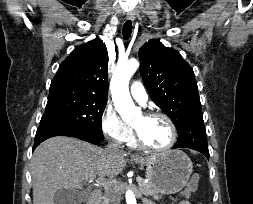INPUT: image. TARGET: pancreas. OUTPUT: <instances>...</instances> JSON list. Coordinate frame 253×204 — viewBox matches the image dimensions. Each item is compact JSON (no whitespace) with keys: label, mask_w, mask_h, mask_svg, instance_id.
Listing matches in <instances>:
<instances>
[{"label":"pancreas","mask_w":253,"mask_h":204,"mask_svg":"<svg viewBox=\"0 0 253 204\" xmlns=\"http://www.w3.org/2000/svg\"><path fill=\"white\" fill-rule=\"evenodd\" d=\"M139 189H140V192L146 196L148 195H154L158 192V190L154 187L153 184H151L150 182L149 183H145V182H140L139 183ZM99 204H107L106 201H100Z\"/></svg>","instance_id":"obj_1"}]
</instances>
